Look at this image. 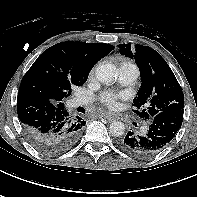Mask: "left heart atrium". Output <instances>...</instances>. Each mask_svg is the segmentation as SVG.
Instances as JSON below:
<instances>
[{
  "label": "left heart atrium",
  "mask_w": 197,
  "mask_h": 197,
  "mask_svg": "<svg viewBox=\"0 0 197 197\" xmlns=\"http://www.w3.org/2000/svg\"><path fill=\"white\" fill-rule=\"evenodd\" d=\"M123 97V94L106 91L101 94L100 99L108 108L115 109L119 106V99Z\"/></svg>",
  "instance_id": "1"
}]
</instances>
